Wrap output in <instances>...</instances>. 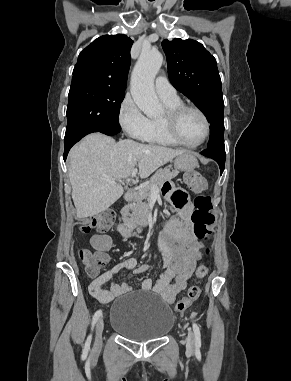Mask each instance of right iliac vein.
Returning <instances> with one entry per match:
<instances>
[{
	"instance_id": "63e3f726",
	"label": "right iliac vein",
	"mask_w": 291,
	"mask_h": 381,
	"mask_svg": "<svg viewBox=\"0 0 291 381\" xmlns=\"http://www.w3.org/2000/svg\"><path fill=\"white\" fill-rule=\"evenodd\" d=\"M103 329H104V321L102 318H100L96 324V333H95V347L96 348H99L101 346Z\"/></svg>"
}]
</instances>
